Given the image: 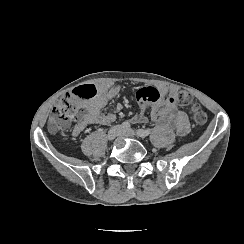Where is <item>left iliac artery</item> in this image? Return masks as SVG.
Here are the masks:
<instances>
[{
	"mask_svg": "<svg viewBox=\"0 0 244 244\" xmlns=\"http://www.w3.org/2000/svg\"><path fill=\"white\" fill-rule=\"evenodd\" d=\"M151 133V129H138L137 130V135L141 138L147 137Z\"/></svg>",
	"mask_w": 244,
	"mask_h": 244,
	"instance_id": "1",
	"label": "left iliac artery"
}]
</instances>
